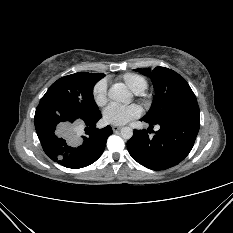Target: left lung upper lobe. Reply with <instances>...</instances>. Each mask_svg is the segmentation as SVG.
Here are the masks:
<instances>
[{
  "instance_id": "5c2ea615",
  "label": "left lung upper lobe",
  "mask_w": 233,
  "mask_h": 233,
  "mask_svg": "<svg viewBox=\"0 0 233 233\" xmlns=\"http://www.w3.org/2000/svg\"><path fill=\"white\" fill-rule=\"evenodd\" d=\"M135 71L150 76L156 92L154 102L143 117L149 122H157L173 110L182 100L194 96L188 83L173 70L165 67L155 69H135Z\"/></svg>"
}]
</instances>
